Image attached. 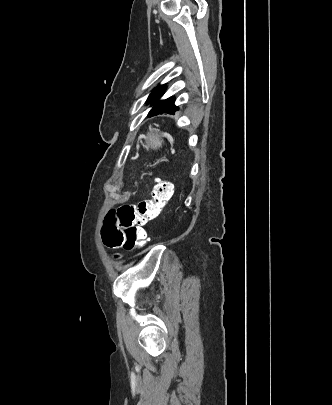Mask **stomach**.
<instances>
[{
  "label": "stomach",
  "mask_w": 332,
  "mask_h": 405,
  "mask_svg": "<svg viewBox=\"0 0 332 405\" xmlns=\"http://www.w3.org/2000/svg\"><path fill=\"white\" fill-rule=\"evenodd\" d=\"M162 133H160L157 129H150V132L147 136L144 137L146 144L144 147L149 150V148L153 150H157L162 146Z\"/></svg>",
  "instance_id": "1"
}]
</instances>
